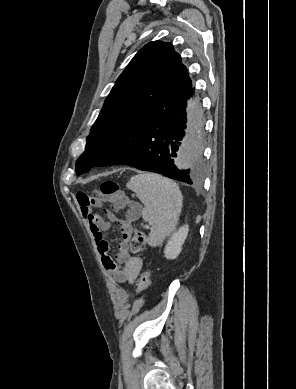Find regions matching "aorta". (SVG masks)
<instances>
[{
    "label": "aorta",
    "mask_w": 296,
    "mask_h": 389,
    "mask_svg": "<svg viewBox=\"0 0 296 389\" xmlns=\"http://www.w3.org/2000/svg\"><path fill=\"white\" fill-rule=\"evenodd\" d=\"M189 99L192 102H195L198 99V96L195 93H192L189 96ZM188 142L187 135L178 152V157L176 160V165L179 169H186L189 167L190 162H201L203 158V153L201 149L198 148V143L196 142L199 139V134L196 131H191L188 134Z\"/></svg>",
    "instance_id": "762f6f07"
}]
</instances>
